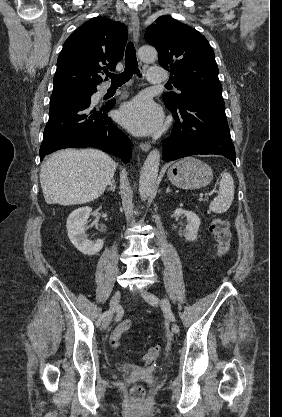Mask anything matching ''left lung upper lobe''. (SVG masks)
<instances>
[{
    "label": "left lung upper lobe",
    "mask_w": 282,
    "mask_h": 417,
    "mask_svg": "<svg viewBox=\"0 0 282 417\" xmlns=\"http://www.w3.org/2000/svg\"><path fill=\"white\" fill-rule=\"evenodd\" d=\"M145 39L158 50L159 64L170 71V80L180 91L163 95L166 106L181 105L197 90L222 91L214 51L196 29L164 15L147 28Z\"/></svg>",
    "instance_id": "left-lung-upper-lobe-1"
}]
</instances>
